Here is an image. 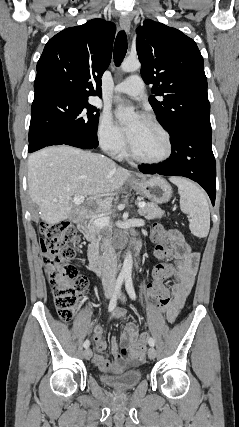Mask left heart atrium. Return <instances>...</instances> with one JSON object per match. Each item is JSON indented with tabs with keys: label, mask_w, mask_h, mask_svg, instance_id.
Returning <instances> with one entry per match:
<instances>
[{
	"label": "left heart atrium",
	"mask_w": 239,
	"mask_h": 427,
	"mask_svg": "<svg viewBox=\"0 0 239 427\" xmlns=\"http://www.w3.org/2000/svg\"><path fill=\"white\" fill-rule=\"evenodd\" d=\"M132 132H133V128L132 127L126 128V134H127L128 139H130V137L132 135Z\"/></svg>",
	"instance_id": "obj_1"
}]
</instances>
